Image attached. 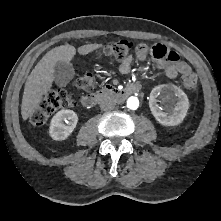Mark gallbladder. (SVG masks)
Here are the masks:
<instances>
[{"label": "gallbladder", "instance_id": "obj_1", "mask_svg": "<svg viewBox=\"0 0 221 221\" xmlns=\"http://www.w3.org/2000/svg\"><path fill=\"white\" fill-rule=\"evenodd\" d=\"M75 70L72 64L67 62H57L54 66V81L62 87L66 86L74 77Z\"/></svg>", "mask_w": 221, "mask_h": 221}]
</instances>
